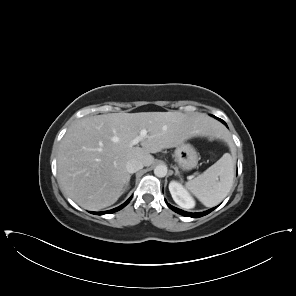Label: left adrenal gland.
I'll use <instances>...</instances> for the list:
<instances>
[{
  "label": "left adrenal gland",
  "mask_w": 296,
  "mask_h": 296,
  "mask_svg": "<svg viewBox=\"0 0 296 296\" xmlns=\"http://www.w3.org/2000/svg\"><path fill=\"white\" fill-rule=\"evenodd\" d=\"M175 176H179L180 177V172L178 171V169L175 167Z\"/></svg>",
  "instance_id": "a2214340"
}]
</instances>
